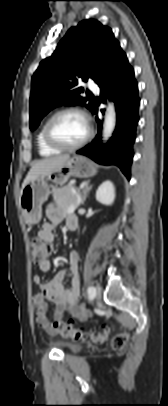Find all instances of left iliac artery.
<instances>
[{
  "mask_svg": "<svg viewBox=\"0 0 168 406\" xmlns=\"http://www.w3.org/2000/svg\"><path fill=\"white\" fill-rule=\"evenodd\" d=\"M88 297L90 299L95 297V288L93 286L88 287L87 289Z\"/></svg>",
  "mask_w": 168,
  "mask_h": 406,
  "instance_id": "left-iliac-artery-1",
  "label": "left iliac artery"
}]
</instances>
